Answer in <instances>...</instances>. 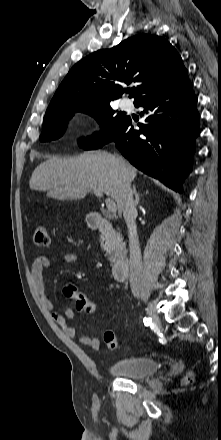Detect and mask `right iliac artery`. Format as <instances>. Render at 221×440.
Wrapping results in <instances>:
<instances>
[{
	"mask_svg": "<svg viewBox=\"0 0 221 440\" xmlns=\"http://www.w3.org/2000/svg\"><path fill=\"white\" fill-rule=\"evenodd\" d=\"M151 322H152V320H151V318H144L143 319V323L146 325V326H148L149 324H151Z\"/></svg>",
	"mask_w": 221,
	"mask_h": 440,
	"instance_id": "right-iliac-artery-1",
	"label": "right iliac artery"
}]
</instances>
